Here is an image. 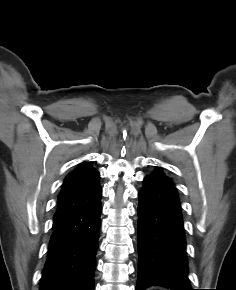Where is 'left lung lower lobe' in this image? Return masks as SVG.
Here are the masks:
<instances>
[{"instance_id": "left-lung-lower-lobe-1", "label": "left lung lower lobe", "mask_w": 236, "mask_h": 290, "mask_svg": "<svg viewBox=\"0 0 236 290\" xmlns=\"http://www.w3.org/2000/svg\"><path fill=\"white\" fill-rule=\"evenodd\" d=\"M138 198L136 290L152 285L193 290L188 279L183 219L174 183L167 177L148 175Z\"/></svg>"}]
</instances>
